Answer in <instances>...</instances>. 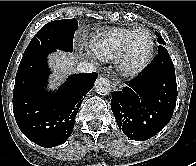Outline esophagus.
<instances>
[{
	"label": "esophagus",
	"instance_id": "obj_1",
	"mask_svg": "<svg viewBox=\"0 0 196 166\" xmlns=\"http://www.w3.org/2000/svg\"><path fill=\"white\" fill-rule=\"evenodd\" d=\"M122 88H123V85H122L121 82H119V81H114V82H113V89H114L115 91H121Z\"/></svg>",
	"mask_w": 196,
	"mask_h": 166
}]
</instances>
